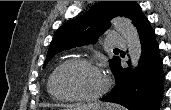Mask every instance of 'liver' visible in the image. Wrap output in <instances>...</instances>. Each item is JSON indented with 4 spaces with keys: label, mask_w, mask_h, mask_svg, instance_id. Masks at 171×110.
<instances>
[{
    "label": "liver",
    "mask_w": 171,
    "mask_h": 110,
    "mask_svg": "<svg viewBox=\"0 0 171 110\" xmlns=\"http://www.w3.org/2000/svg\"><path fill=\"white\" fill-rule=\"evenodd\" d=\"M83 108H86V109H90V108H97L99 110H114V108H117L115 107L114 105L112 104H102V105H86V106H83Z\"/></svg>",
    "instance_id": "6515ba94"
}]
</instances>
